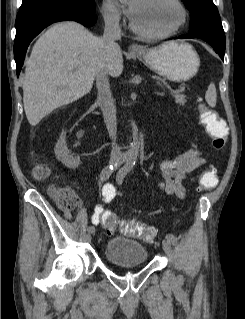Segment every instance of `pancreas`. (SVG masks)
Masks as SVG:
<instances>
[{
  "mask_svg": "<svg viewBox=\"0 0 245 319\" xmlns=\"http://www.w3.org/2000/svg\"><path fill=\"white\" fill-rule=\"evenodd\" d=\"M173 97L177 104L184 105L186 103V95L184 94L175 93L173 94Z\"/></svg>",
  "mask_w": 245,
  "mask_h": 319,
  "instance_id": "pancreas-1",
  "label": "pancreas"
}]
</instances>
